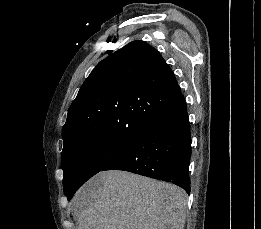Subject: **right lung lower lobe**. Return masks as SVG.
<instances>
[{"label":"right lung lower lobe","instance_id":"right-lung-lower-lobe-1","mask_svg":"<svg viewBox=\"0 0 261 229\" xmlns=\"http://www.w3.org/2000/svg\"><path fill=\"white\" fill-rule=\"evenodd\" d=\"M190 122L180 94L105 170H124L167 181L190 193Z\"/></svg>","mask_w":261,"mask_h":229}]
</instances>
